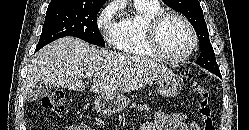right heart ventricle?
I'll list each match as a JSON object with an SVG mask.
<instances>
[{
  "mask_svg": "<svg viewBox=\"0 0 249 130\" xmlns=\"http://www.w3.org/2000/svg\"><path fill=\"white\" fill-rule=\"evenodd\" d=\"M135 13L124 17L112 37L114 47L134 57H154L147 45L145 27L147 21L155 14L163 11L159 2L134 0Z\"/></svg>",
  "mask_w": 249,
  "mask_h": 130,
  "instance_id": "right-heart-ventricle-1",
  "label": "right heart ventricle"
}]
</instances>
